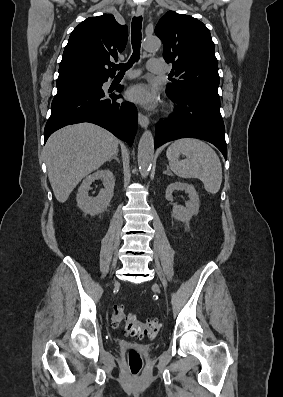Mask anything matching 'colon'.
<instances>
[{
    "mask_svg": "<svg viewBox=\"0 0 283 397\" xmlns=\"http://www.w3.org/2000/svg\"><path fill=\"white\" fill-rule=\"evenodd\" d=\"M112 322L116 326H123L124 333L127 336L135 338H156L160 332V324L155 319H149L144 322L140 321L134 315L127 314L122 306H114L112 309ZM128 364L130 372L133 375H139L143 360L140 353L136 350H130L128 353Z\"/></svg>",
    "mask_w": 283,
    "mask_h": 397,
    "instance_id": "1",
    "label": "colon"
}]
</instances>
